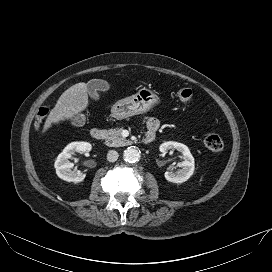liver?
I'll return each instance as SVG.
<instances>
[{"label":"liver","mask_w":272,"mask_h":272,"mask_svg":"<svg viewBox=\"0 0 272 272\" xmlns=\"http://www.w3.org/2000/svg\"><path fill=\"white\" fill-rule=\"evenodd\" d=\"M88 90L84 82L77 83L62 93L55 107L46 118L42 132H46L53 124L72 119L88 107Z\"/></svg>","instance_id":"1"}]
</instances>
